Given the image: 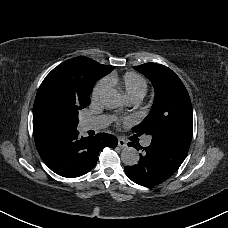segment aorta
I'll list each match as a JSON object with an SVG mask.
<instances>
[{
    "label": "aorta",
    "mask_w": 228,
    "mask_h": 228,
    "mask_svg": "<svg viewBox=\"0 0 228 228\" xmlns=\"http://www.w3.org/2000/svg\"><path fill=\"white\" fill-rule=\"evenodd\" d=\"M100 100L107 109L118 108L123 104L122 95L114 88L105 89ZM121 160L127 166L136 165L139 161V153L133 147H125L121 152Z\"/></svg>",
    "instance_id": "aorta-1"
}]
</instances>
